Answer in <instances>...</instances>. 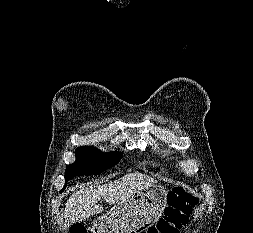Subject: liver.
Instances as JSON below:
<instances>
[{"instance_id": "6515ba94", "label": "liver", "mask_w": 253, "mask_h": 233, "mask_svg": "<svg viewBox=\"0 0 253 233\" xmlns=\"http://www.w3.org/2000/svg\"><path fill=\"white\" fill-rule=\"evenodd\" d=\"M152 177L135 172L103 185L89 186L74 192L67 200L64 211V228L75 222L86 220L101 213L103 207L98 205L102 197L108 204H119L138 190L155 185Z\"/></svg>"}]
</instances>
